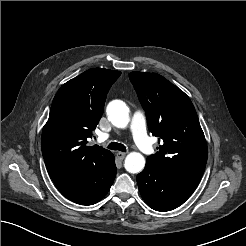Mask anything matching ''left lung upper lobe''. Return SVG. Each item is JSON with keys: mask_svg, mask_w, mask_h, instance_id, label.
I'll list each match as a JSON object with an SVG mask.
<instances>
[{"mask_svg": "<svg viewBox=\"0 0 246 246\" xmlns=\"http://www.w3.org/2000/svg\"><path fill=\"white\" fill-rule=\"evenodd\" d=\"M130 80L146 112L148 128L161 142L146 165L201 178L207 144L189 97L156 73L131 72Z\"/></svg>", "mask_w": 246, "mask_h": 246, "instance_id": "1", "label": "left lung upper lobe"}]
</instances>
